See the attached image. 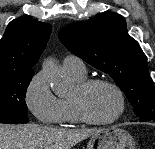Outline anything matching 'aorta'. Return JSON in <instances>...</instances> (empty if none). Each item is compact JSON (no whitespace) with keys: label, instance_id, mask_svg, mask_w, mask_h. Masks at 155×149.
<instances>
[{"label":"aorta","instance_id":"1","mask_svg":"<svg viewBox=\"0 0 155 149\" xmlns=\"http://www.w3.org/2000/svg\"><path fill=\"white\" fill-rule=\"evenodd\" d=\"M42 71L57 96L64 97L69 94L72 87L71 82L63 74L57 61L51 58L46 59L42 65Z\"/></svg>","mask_w":155,"mask_h":149}]
</instances>
